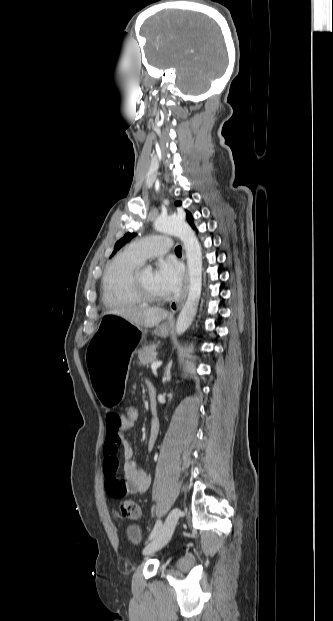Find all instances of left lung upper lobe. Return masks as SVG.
Returning <instances> with one entry per match:
<instances>
[{
    "label": "left lung upper lobe",
    "mask_w": 333,
    "mask_h": 621,
    "mask_svg": "<svg viewBox=\"0 0 333 621\" xmlns=\"http://www.w3.org/2000/svg\"><path fill=\"white\" fill-rule=\"evenodd\" d=\"M175 205L179 206L181 205V202L177 201L175 202ZM186 220L192 226V228L195 227L193 223V216L189 211H186ZM135 235H136L135 233H131V232L126 233L123 238H121L119 241L116 242L114 246V251L111 256H113L122 246H124L127 242H129Z\"/></svg>",
    "instance_id": "obj_1"
}]
</instances>
